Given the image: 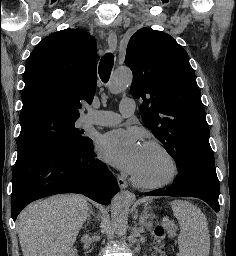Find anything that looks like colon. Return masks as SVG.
<instances>
[{"instance_id":"obj_1","label":"colon","mask_w":236,"mask_h":256,"mask_svg":"<svg viewBox=\"0 0 236 256\" xmlns=\"http://www.w3.org/2000/svg\"><path fill=\"white\" fill-rule=\"evenodd\" d=\"M154 244L157 248V255L164 256V234L161 229H158L155 233Z\"/></svg>"}]
</instances>
